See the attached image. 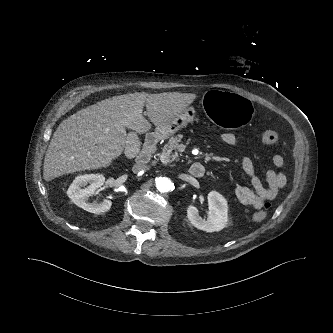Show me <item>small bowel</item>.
<instances>
[{
    "mask_svg": "<svg viewBox=\"0 0 333 333\" xmlns=\"http://www.w3.org/2000/svg\"><path fill=\"white\" fill-rule=\"evenodd\" d=\"M221 141L226 145H235L236 136L231 132H224ZM273 164L276 170H270L266 174L265 185L256 175L253 161L248 156H242L241 166L244 174L249 178L251 185H239L234 190V195L238 201L244 205L260 209L266 201L273 200L286 183L285 173L281 170L284 160L280 155L273 156Z\"/></svg>",
    "mask_w": 333,
    "mask_h": 333,
    "instance_id": "small-bowel-1",
    "label": "small bowel"
}]
</instances>
